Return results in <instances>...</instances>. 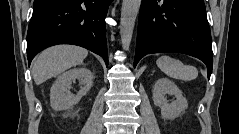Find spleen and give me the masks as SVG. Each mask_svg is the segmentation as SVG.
<instances>
[{"instance_id":"3e777b00","label":"spleen","mask_w":239,"mask_h":134,"mask_svg":"<svg viewBox=\"0 0 239 134\" xmlns=\"http://www.w3.org/2000/svg\"><path fill=\"white\" fill-rule=\"evenodd\" d=\"M156 64L160 70L170 78L190 81L198 76L197 68L190 65H184L180 60L167 55L158 58Z\"/></svg>"}]
</instances>
